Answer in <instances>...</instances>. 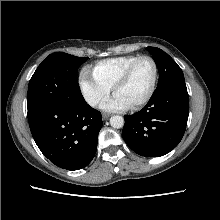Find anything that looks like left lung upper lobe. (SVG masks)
<instances>
[{
  "mask_svg": "<svg viewBox=\"0 0 220 220\" xmlns=\"http://www.w3.org/2000/svg\"><path fill=\"white\" fill-rule=\"evenodd\" d=\"M158 67L159 81L155 91L168 85L184 81V75L177 63L163 50L156 47H148Z\"/></svg>",
  "mask_w": 220,
  "mask_h": 220,
  "instance_id": "left-lung-upper-lobe-1",
  "label": "left lung upper lobe"
}]
</instances>
